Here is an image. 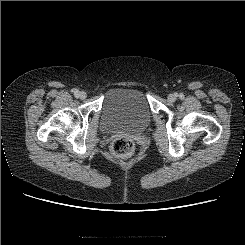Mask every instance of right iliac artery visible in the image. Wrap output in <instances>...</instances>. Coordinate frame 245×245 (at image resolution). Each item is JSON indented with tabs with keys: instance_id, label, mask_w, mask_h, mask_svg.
<instances>
[{
	"instance_id": "82829eb1",
	"label": "right iliac artery",
	"mask_w": 245,
	"mask_h": 245,
	"mask_svg": "<svg viewBox=\"0 0 245 245\" xmlns=\"http://www.w3.org/2000/svg\"><path fill=\"white\" fill-rule=\"evenodd\" d=\"M73 93H74L75 96H77L79 94V91L77 89H74Z\"/></svg>"
}]
</instances>
